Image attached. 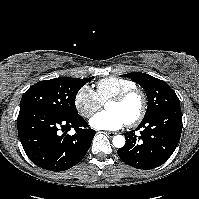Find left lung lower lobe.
I'll return each instance as SVG.
<instances>
[{"label":"left lung lower lobe","mask_w":199,"mask_h":199,"mask_svg":"<svg viewBox=\"0 0 199 199\" xmlns=\"http://www.w3.org/2000/svg\"><path fill=\"white\" fill-rule=\"evenodd\" d=\"M135 131L123 133L124 147L118 149L119 157L128 165L149 170L165 163L175 151L182 132L180 105L171 106L143 119Z\"/></svg>","instance_id":"obj_1"}]
</instances>
